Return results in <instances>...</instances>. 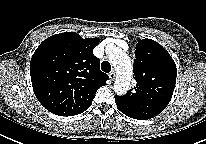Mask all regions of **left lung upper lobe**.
Wrapping results in <instances>:
<instances>
[{
    "label": "left lung upper lobe",
    "mask_w": 206,
    "mask_h": 144,
    "mask_svg": "<svg viewBox=\"0 0 206 144\" xmlns=\"http://www.w3.org/2000/svg\"><path fill=\"white\" fill-rule=\"evenodd\" d=\"M136 86L126 95L118 96L130 117L146 116L145 106L163 111L171 100L177 69L170 54L156 41L139 40L133 64Z\"/></svg>",
    "instance_id": "left-lung-upper-lobe-1"
}]
</instances>
